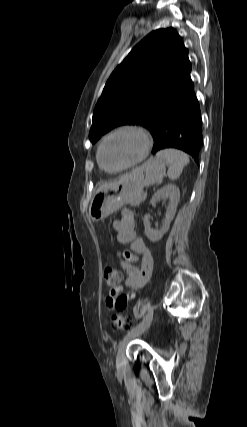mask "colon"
<instances>
[{"mask_svg":"<svg viewBox=\"0 0 247 427\" xmlns=\"http://www.w3.org/2000/svg\"><path fill=\"white\" fill-rule=\"evenodd\" d=\"M121 280V273L114 267H108L105 270V282L111 290L115 289ZM113 326L118 330L130 329L133 325V319L129 315L115 314L111 317Z\"/></svg>","mask_w":247,"mask_h":427,"instance_id":"colon-1","label":"colon"}]
</instances>
